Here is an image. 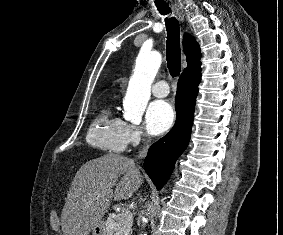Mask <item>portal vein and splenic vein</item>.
Instances as JSON below:
<instances>
[{"instance_id":"obj_1","label":"portal vein and splenic vein","mask_w":283,"mask_h":235,"mask_svg":"<svg viewBox=\"0 0 283 235\" xmlns=\"http://www.w3.org/2000/svg\"><path fill=\"white\" fill-rule=\"evenodd\" d=\"M121 213L124 214V215H127V214H129V211L126 208H122Z\"/></svg>"}]
</instances>
